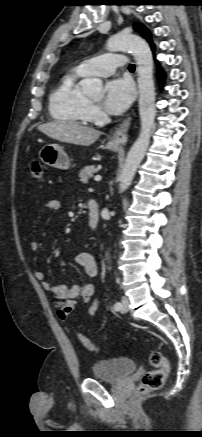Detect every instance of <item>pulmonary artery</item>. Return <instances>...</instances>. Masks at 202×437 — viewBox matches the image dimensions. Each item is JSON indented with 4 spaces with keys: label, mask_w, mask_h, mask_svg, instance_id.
I'll return each instance as SVG.
<instances>
[{
    "label": "pulmonary artery",
    "mask_w": 202,
    "mask_h": 437,
    "mask_svg": "<svg viewBox=\"0 0 202 437\" xmlns=\"http://www.w3.org/2000/svg\"><path fill=\"white\" fill-rule=\"evenodd\" d=\"M127 64V58L120 53H107L83 61L78 68L84 75L106 77L113 74L118 67Z\"/></svg>",
    "instance_id": "1"
}]
</instances>
